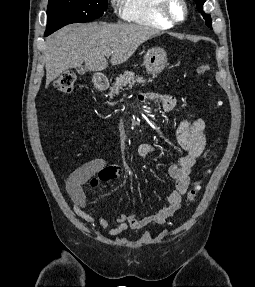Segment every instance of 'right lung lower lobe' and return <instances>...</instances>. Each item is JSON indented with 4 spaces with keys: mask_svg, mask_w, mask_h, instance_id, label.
<instances>
[{
    "mask_svg": "<svg viewBox=\"0 0 255 287\" xmlns=\"http://www.w3.org/2000/svg\"><path fill=\"white\" fill-rule=\"evenodd\" d=\"M44 35H45V36H48V35H50V34H49V33H45Z\"/></svg>",
    "mask_w": 255,
    "mask_h": 287,
    "instance_id": "right-lung-lower-lobe-1",
    "label": "right lung lower lobe"
}]
</instances>
